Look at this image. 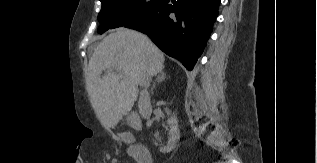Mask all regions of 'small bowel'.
Masks as SVG:
<instances>
[{
	"label": "small bowel",
	"instance_id": "obj_1",
	"mask_svg": "<svg viewBox=\"0 0 317 163\" xmlns=\"http://www.w3.org/2000/svg\"><path fill=\"white\" fill-rule=\"evenodd\" d=\"M129 152H130V155L136 160L137 163H153L150 153H148L147 156H143V157L137 156L133 147L130 148Z\"/></svg>",
	"mask_w": 317,
	"mask_h": 163
}]
</instances>
